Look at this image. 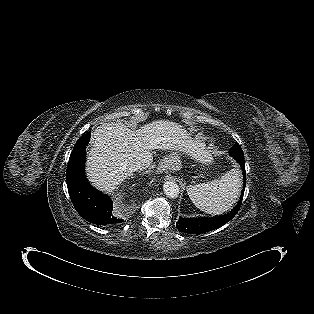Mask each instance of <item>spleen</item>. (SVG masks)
I'll return each mask as SVG.
<instances>
[{
  "mask_svg": "<svg viewBox=\"0 0 314 314\" xmlns=\"http://www.w3.org/2000/svg\"><path fill=\"white\" fill-rule=\"evenodd\" d=\"M240 173L233 169L210 182L190 185L187 193L193 204L208 214H221L228 211L239 195Z\"/></svg>",
  "mask_w": 314,
  "mask_h": 314,
  "instance_id": "spleen-1",
  "label": "spleen"
}]
</instances>
